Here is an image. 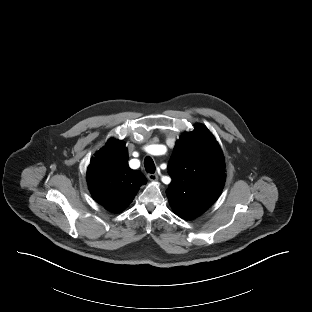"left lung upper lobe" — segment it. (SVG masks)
Here are the masks:
<instances>
[{"instance_id":"5c2ea615","label":"left lung upper lobe","mask_w":312,"mask_h":312,"mask_svg":"<svg viewBox=\"0 0 312 312\" xmlns=\"http://www.w3.org/2000/svg\"><path fill=\"white\" fill-rule=\"evenodd\" d=\"M168 170L172 182L166 194L173 210L184 219L207 210L220 195L226 178L222 151L200 124L176 142Z\"/></svg>"}]
</instances>
